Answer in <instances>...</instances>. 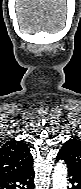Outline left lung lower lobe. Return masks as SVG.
<instances>
[{
	"label": "left lung lower lobe",
	"mask_w": 81,
	"mask_h": 189,
	"mask_svg": "<svg viewBox=\"0 0 81 189\" xmlns=\"http://www.w3.org/2000/svg\"><path fill=\"white\" fill-rule=\"evenodd\" d=\"M63 160L60 155H57V161ZM68 174L70 177V182L73 185L71 189H81V175L73 172L72 170H68Z\"/></svg>",
	"instance_id": "obj_1"
}]
</instances>
